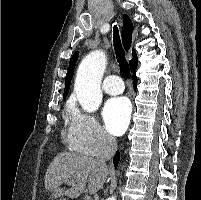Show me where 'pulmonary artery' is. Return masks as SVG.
<instances>
[{
  "label": "pulmonary artery",
  "instance_id": "1",
  "mask_svg": "<svg viewBox=\"0 0 201 200\" xmlns=\"http://www.w3.org/2000/svg\"><path fill=\"white\" fill-rule=\"evenodd\" d=\"M103 90L110 95L121 94L124 91V84L118 75H108L103 82Z\"/></svg>",
  "mask_w": 201,
  "mask_h": 200
}]
</instances>
